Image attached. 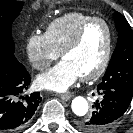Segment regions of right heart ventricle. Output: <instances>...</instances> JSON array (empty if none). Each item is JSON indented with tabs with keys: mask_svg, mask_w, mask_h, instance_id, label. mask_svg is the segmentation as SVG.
<instances>
[{
	"mask_svg": "<svg viewBox=\"0 0 133 133\" xmlns=\"http://www.w3.org/2000/svg\"><path fill=\"white\" fill-rule=\"evenodd\" d=\"M92 16L83 12H69L51 21L45 35L53 47L61 52L80 26Z\"/></svg>",
	"mask_w": 133,
	"mask_h": 133,
	"instance_id": "obj_1",
	"label": "right heart ventricle"
}]
</instances>
